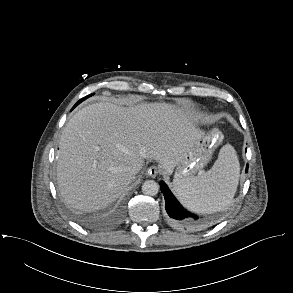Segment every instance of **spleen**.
Returning <instances> with one entry per match:
<instances>
[{
    "instance_id": "obj_1",
    "label": "spleen",
    "mask_w": 293,
    "mask_h": 293,
    "mask_svg": "<svg viewBox=\"0 0 293 293\" xmlns=\"http://www.w3.org/2000/svg\"><path fill=\"white\" fill-rule=\"evenodd\" d=\"M240 165L233 146L224 145L213 167L174 187L180 201L192 211L212 213L226 208L237 190Z\"/></svg>"
}]
</instances>
